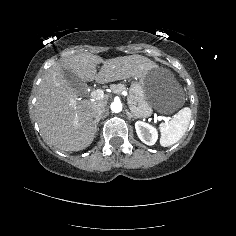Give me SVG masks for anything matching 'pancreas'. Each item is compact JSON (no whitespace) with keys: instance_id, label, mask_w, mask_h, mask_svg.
<instances>
[{"instance_id":"1","label":"pancreas","mask_w":236,"mask_h":236,"mask_svg":"<svg viewBox=\"0 0 236 236\" xmlns=\"http://www.w3.org/2000/svg\"><path fill=\"white\" fill-rule=\"evenodd\" d=\"M110 87H111V89L114 92H116L118 94H121L122 91L126 90V88H125V86L123 84H117V85L116 84H112Z\"/></svg>"}]
</instances>
